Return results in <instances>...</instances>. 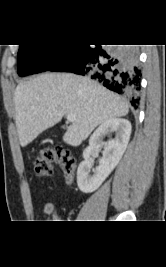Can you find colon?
Returning a JSON list of instances; mask_svg holds the SVG:
<instances>
[{"label":"colon","instance_id":"colon-1","mask_svg":"<svg viewBox=\"0 0 166 267\" xmlns=\"http://www.w3.org/2000/svg\"><path fill=\"white\" fill-rule=\"evenodd\" d=\"M59 165L67 179H72L75 172V159L69 151L60 148H48L40 152L34 162V171L41 179L49 178L53 165Z\"/></svg>","mask_w":166,"mask_h":267}]
</instances>
